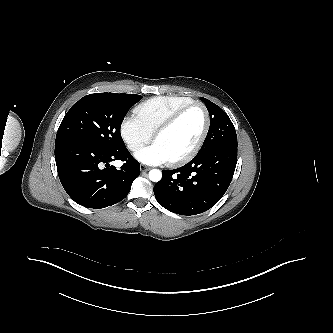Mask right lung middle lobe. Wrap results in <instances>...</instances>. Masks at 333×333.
<instances>
[{
	"instance_id": "1",
	"label": "right lung middle lobe",
	"mask_w": 333,
	"mask_h": 333,
	"mask_svg": "<svg viewBox=\"0 0 333 333\" xmlns=\"http://www.w3.org/2000/svg\"><path fill=\"white\" fill-rule=\"evenodd\" d=\"M142 96L95 93L84 96L64 116L56 141H72L85 146L114 151L124 148L120 134L128 110Z\"/></svg>"
}]
</instances>
